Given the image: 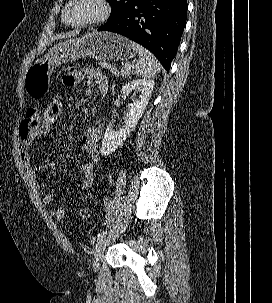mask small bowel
Wrapping results in <instances>:
<instances>
[{
    "label": "small bowel",
    "instance_id": "small-bowel-1",
    "mask_svg": "<svg viewBox=\"0 0 272 303\" xmlns=\"http://www.w3.org/2000/svg\"><path fill=\"white\" fill-rule=\"evenodd\" d=\"M83 80L90 81L98 90L99 95L104 100L108 95V81L105 75L97 69L87 68L72 71L62 78L65 85L74 87ZM40 111L37 107H30L21 122L19 134V155L24 169L25 175L29 180L33 191L39 197L43 204H50L53 200L52 193H42L38 181V172L43 173L48 168L56 169L57 162L51 159L47 164L41 165L38 170L31 165L30 149L32 144L41 137L47 134L43 133L39 128ZM103 132V124L101 122L95 123L88 132L83 134L78 141V146L81 151L89 156V161L84 162L81 170L84 174L83 180L80 184L82 190L89 189L95 180V163L99 160L100 155L97 149V143L100 140ZM53 217L62 219L65 215L64 207H56L51 210Z\"/></svg>",
    "mask_w": 272,
    "mask_h": 303
}]
</instances>
